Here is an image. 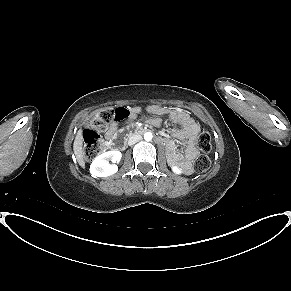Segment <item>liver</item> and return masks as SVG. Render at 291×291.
<instances>
[{"instance_id": "obj_1", "label": "liver", "mask_w": 291, "mask_h": 291, "mask_svg": "<svg viewBox=\"0 0 291 291\" xmlns=\"http://www.w3.org/2000/svg\"><path fill=\"white\" fill-rule=\"evenodd\" d=\"M82 146H83L82 130H79L76 134V137L73 143V151L76 156L78 164L82 168H85V160L83 158Z\"/></svg>"}]
</instances>
